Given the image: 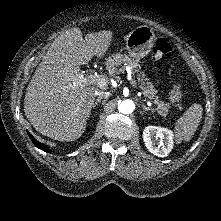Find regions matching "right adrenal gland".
I'll list each match as a JSON object with an SVG mask.
<instances>
[{"mask_svg": "<svg viewBox=\"0 0 221 221\" xmlns=\"http://www.w3.org/2000/svg\"><path fill=\"white\" fill-rule=\"evenodd\" d=\"M101 99H102V98H98V99L94 102L93 108H95V107L101 102Z\"/></svg>", "mask_w": 221, "mask_h": 221, "instance_id": "1", "label": "right adrenal gland"}]
</instances>
